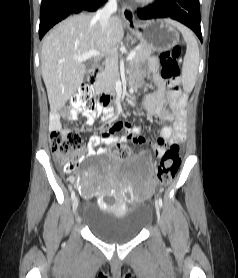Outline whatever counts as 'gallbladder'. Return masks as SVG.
<instances>
[{
    "mask_svg": "<svg viewBox=\"0 0 238 278\" xmlns=\"http://www.w3.org/2000/svg\"><path fill=\"white\" fill-rule=\"evenodd\" d=\"M90 68H91V65L88 64V65L86 66V70L88 71Z\"/></svg>",
    "mask_w": 238,
    "mask_h": 278,
    "instance_id": "bac80fb5",
    "label": "gallbladder"
}]
</instances>
